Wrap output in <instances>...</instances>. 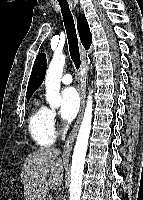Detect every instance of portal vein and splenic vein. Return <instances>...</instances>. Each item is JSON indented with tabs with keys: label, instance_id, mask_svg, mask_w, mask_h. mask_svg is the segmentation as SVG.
<instances>
[{
	"label": "portal vein and splenic vein",
	"instance_id": "1",
	"mask_svg": "<svg viewBox=\"0 0 143 200\" xmlns=\"http://www.w3.org/2000/svg\"><path fill=\"white\" fill-rule=\"evenodd\" d=\"M44 173L47 174V173H48V170H44Z\"/></svg>",
	"mask_w": 143,
	"mask_h": 200
}]
</instances>
